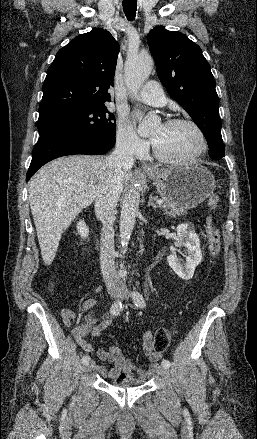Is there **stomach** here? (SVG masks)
Here are the masks:
<instances>
[{"instance_id":"1","label":"stomach","mask_w":257,"mask_h":439,"mask_svg":"<svg viewBox=\"0 0 257 439\" xmlns=\"http://www.w3.org/2000/svg\"><path fill=\"white\" fill-rule=\"evenodd\" d=\"M158 193L185 210L206 200L215 189V178L204 166L172 167L147 172Z\"/></svg>"}]
</instances>
